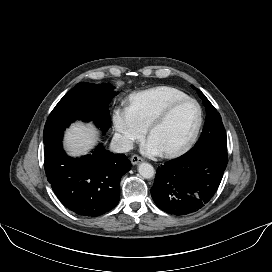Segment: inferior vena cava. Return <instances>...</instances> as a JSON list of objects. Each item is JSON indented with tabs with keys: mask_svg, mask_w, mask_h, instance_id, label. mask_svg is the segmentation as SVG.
<instances>
[{
	"mask_svg": "<svg viewBox=\"0 0 272 272\" xmlns=\"http://www.w3.org/2000/svg\"><path fill=\"white\" fill-rule=\"evenodd\" d=\"M133 149V143L120 134H115L110 144V150L116 153H125Z\"/></svg>",
	"mask_w": 272,
	"mask_h": 272,
	"instance_id": "inferior-vena-cava-1",
	"label": "inferior vena cava"
}]
</instances>
